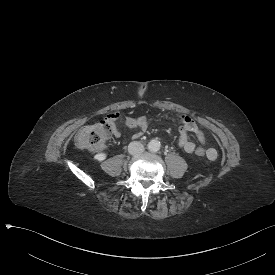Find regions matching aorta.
<instances>
[{"instance_id":"aorta-1","label":"aorta","mask_w":275,"mask_h":275,"mask_svg":"<svg viewBox=\"0 0 275 275\" xmlns=\"http://www.w3.org/2000/svg\"><path fill=\"white\" fill-rule=\"evenodd\" d=\"M147 147L150 152H157L161 147V143L160 141L153 139L148 143Z\"/></svg>"}]
</instances>
